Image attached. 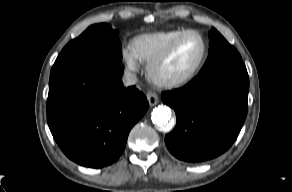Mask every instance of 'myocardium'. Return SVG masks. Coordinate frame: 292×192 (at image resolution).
I'll return each instance as SVG.
<instances>
[{"label": "myocardium", "instance_id": "f54148a6", "mask_svg": "<svg viewBox=\"0 0 292 192\" xmlns=\"http://www.w3.org/2000/svg\"><path fill=\"white\" fill-rule=\"evenodd\" d=\"M197 35L203 44V52L201 55L200 60L195 65V67L188 72L187 74L180 76V77H174L169 78L165 77L161 74V69L163 65L167 62V60L172 56L178 45L181 43L183 39H185L189 35ZM209 56V44L204 35L197 31V30H186L182 34H180L178 37H176L168 46L167 48L151 63H149L147 67V76L150 79L152 83H154L156 86L162 87V88H177L184 86L191 81H193L199 73L204 68L207 59Z\"/></svg>", "mask_w": 292, "mask_h": 192}]
</instances>
